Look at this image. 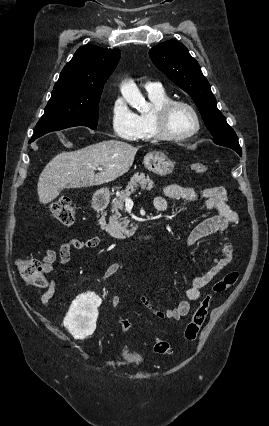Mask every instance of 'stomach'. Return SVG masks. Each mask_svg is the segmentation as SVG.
<instances>
[{"instance_id":"1","label":"stomach","mask_w":269,"mask_h":426,"mask_svg":"<svg viewBox=\"0 0 269 426\" xmlns=\"http://www.w3.org/2000/svg\"><path fill=\"white\" fill-rule=\"evenodd\" d=\"M144 165L149 171L161 176L172 173L174 169V163L167 155L160 152L148 153L144 157Z\"/></svg>"}]
</instances>
